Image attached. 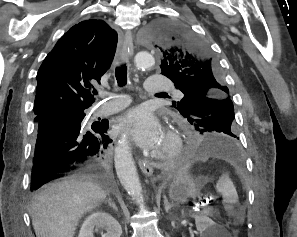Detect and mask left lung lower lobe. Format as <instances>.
<instances>
[{
    "label": "left lung lower lobe",
    "mask_w": 297,
    "mask_h": 237,
    "mask_svg": "<svg viewBox=\"0 0 297 237\" xmlns=\"http://www.w3.org/2000/svg\"><path fill=\"white\" fill-rule=\"evenodd\" d=\"M201 136L195 138L187 147V157L218 156L225 158L236 157L238 149L236 142L227 139L218 133L200 132Z\"/></svg>",
    "instance_id": "obj_1"
}]
</instances>
